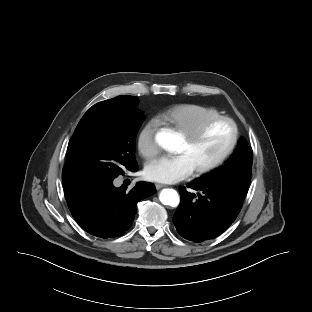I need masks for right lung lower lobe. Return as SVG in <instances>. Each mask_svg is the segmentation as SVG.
Returning a JSON list of instances; mask_svg holds the SVG:
<instances>
[{
	"label": "right lung lower lobe",
	"instance_id": "1",
	"mask_svg": "<svg viewBox=\"0 0 312 312\" xmlns=\"http://www.w3.org/2000/svg\"><path fill=\"white\" fill-rule=\"evenodd\" d=\"M126 189L123 185L115 188L110 180L66 201L72 216L86 232L101 238H113L131 226L137 202L156 192L155 186L146 182H138L130 191Z\"/></svg>",
	"mask_w": 312,
	"mask_h": 312
}]
</instances>
